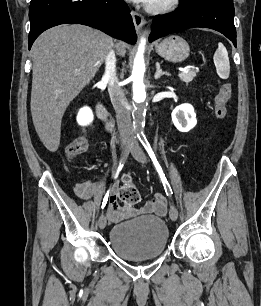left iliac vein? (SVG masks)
Segmentation results:
<instances>
[{
    "instance_id": "obj_1",
    "label": "left iliac vein",
    "mask_w": 261,
    "mask_h": 306,
    "mask_svg": "<svg viewBox=\"0 0 261 306\" xmlns=\"http://www.w3.org/2000/svg\"><path fill=\"white\" fill-rule=\"evenodd\" d=\"M127 150L132 154V156L138 162L142 164L147 163L148 161L147 156L145 152L143 151V149L141 148V146L139 145L138 141L135 139V137L130 138L128 142ZM169 216L172 221H176L178 218V210L174 205L170 206Z\"/></svg>"
}]
</instances>
